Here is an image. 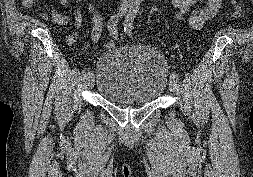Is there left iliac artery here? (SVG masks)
Listing matches in <instances>:
<instances>
[{"label":"left iliac artery","instance_id":"44dca946","mask_svg":"<svg viewBox=\"0 0 253 177\" xmlns=\"http://www.w3.org/2000/svg\"><path fill=\"white\" fill-rule=\"evenodd\" d=\"M137 9L130 10L129 14L127 15L125 21H124V31L127 35L131 36L133 32V21L136 17ZM170 78L176 82L179 81V77L176 73H172L170 75Z\"/></svg>","mask_w":253,"mask_h":177}]
</instances>
